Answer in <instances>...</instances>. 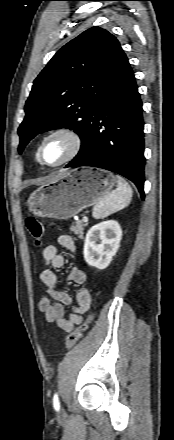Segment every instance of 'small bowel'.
Returning <instances> with one entry per match:
<instances>
[{"instance_id": "obj_1", "label": "small bowel", "mask_w": 174, "mask_h": 440, "mask_svg": "<svg viewBox=\"0 0 174 440\" xmlns=\"http://www.w3.org/2000/svg\"><path fill=\"white\" fill-rule=\"evenodd\" d=\"M60 244L67 250L74 252L76 245L69 235L59 237ZM43 261L46 268L40 273V279L45 292L39 302V310L44 314L46 320L55 323L65 332H70L83 320V314L91 306V295L87 288H81L77 293V305H72L70 294L63 288L62 283L55 274V269L63 268L65 260L54 245H48L42 252ZM87 281L86 273L79 267H73L67 277V282L83 285ZM66 306H70L67 313Z\"/></svg>"}]
</instances>
